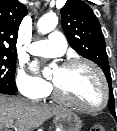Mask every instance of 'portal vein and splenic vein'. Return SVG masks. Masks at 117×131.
Segmentation results:
<instances>
[{"instance_id":"portal-vein-and-splenic-vein-1","label":"portal vein and splenic vein","mask_w":117,"mask_h":131,"mask_svg":"<svg viewBox=\"0 0 117 131\" xmlns=\"http://www.w3.org/2000/svg\"><path fill=\"white\" fill-rule=\"evenodd\" d=\"M11 124H13V121H11L7 126H9V125H11Z\"/></svg>"}]
</instances>
